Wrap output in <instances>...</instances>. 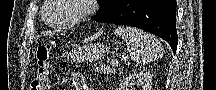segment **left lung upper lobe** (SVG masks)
Here are the masks:
<instances>
[{"mask_svg": "<svg viewBox=\"0 0 216 90\" xmlns=\"http://www.w3.org/2000/svg\"><path fill=\"white\" fill-rule=\"evenodd\" d=\"M121 0H98V2L101 4L100 10L97 12V14H100L104 11H107L111 8H113L115 5H117ZM96 14V15H97Z\"/></svg>", "mask_w": 216, "mask_h": 90, "instance_id": "left-lung-upper-lobe-1", "label": "left lung upper lobe"}]
</instances>
